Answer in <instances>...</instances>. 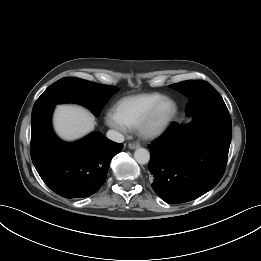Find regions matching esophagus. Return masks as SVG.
Wrapping results in <instances>:
<instances>
[{"mask_svg":"<svg viewBox=\"0 0 261 261\" xmlns=\"http://www.w3.org/2000/svg\"><path fill=\"white\" fill-rule=\"evenodd\" d=\"M128 147L130 149H136V148H139L140 147V144L139 143H136V142H132V143H129L128 144Z\"/></svg>","mask_w":261,"mask_h":261,"instance_id":"34e87169","label":"esophagus"}]
</instances>
